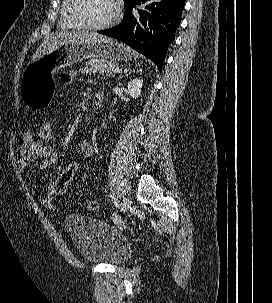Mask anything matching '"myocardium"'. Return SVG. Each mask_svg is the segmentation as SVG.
<instances>
[{
    "instance_id": "f54148a6",
    "label": "myocardium",
    "mask_w": 272,
    "mask_h": 303,
    "mask_svg": "<svg viewBox=\"0 0 272 303\" xmlns=\"http://www.w3.org/2000/svg\"><path fill=\"white\" fill-rule=\"evenodd\" d=\"M81 2H82V0H70V5L68 8V16L71 19V21H73L75 24H77L79 27H81L83 29L92 30V31H100V30L107 29L115 24V22L117 21L119 15H120V9H119L118 5L116 4L115 0H113L114 5H115V12H114L113 16L103 24L93 25V24L87 23L78 15L77 8Z\"/></svg>"
}]
</instances>
